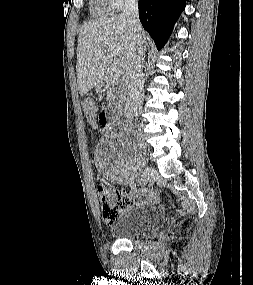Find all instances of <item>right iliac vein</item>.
Here are the masks:
<instances>
[{
	"label": "right iliac vein",
	"mask_w": 253,
	"mask_h": 285,
	"mask_svg": "<svg viewBox=\"0 0 253 285\" xmlns=\"http://www.w3.org/2000/svg\"><path fill=\"white\" fill-rule=\"evenodd\" d=\"M151 173V168L150 167H146L143 172L142 175L139 179L141 184H146L149 181V175Z\"/></svg>",
	"instance_id": "63e3f726"
}]
</instances>
